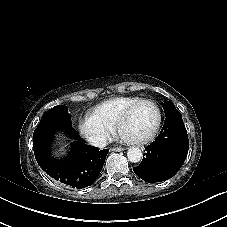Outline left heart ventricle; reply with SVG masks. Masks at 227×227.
I'll return each mask as SVG.
<instances>
[{
	"instance_id": "1",
	"label": "left heart ventricle",
	"mask_w": 227,
	"mask_h": 227,
	"mask_svg": "<svg viewBox=\"0 0 227 227\" xmlns=\"http://www.w3.org/2000/svg\"><path fill=\"white\" fill-rule=\"evenodd\" d=\"M156 122V112L152 106L138 108L124 127V133L133 137H145L151 133Z\"/></svg>"
}]
</instances>
